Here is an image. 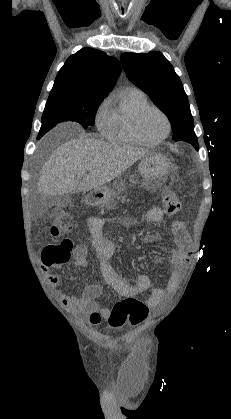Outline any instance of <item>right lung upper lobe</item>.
Listing matches in <instances>:
<instances>
[{
  "mask_svg": "<svg viewBox=\"0 0 231 419\" xmlns=\"http://www.w3.org/2000/svg\"><path fill=\"white\" fill-rule=\"evenodd\" d=\"M121 73L120 62L106 53L83 48L71 55L59 70L51 91H67L76 97L105 98Z\"/></svg>",
  "mask_w": 231,
  "mask_h": 419,
  "instance_id": "right-lung-upper-lobe-1",
  "label": "right lung upper lobe"
}]
</instances>
